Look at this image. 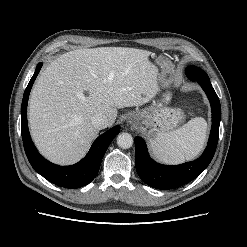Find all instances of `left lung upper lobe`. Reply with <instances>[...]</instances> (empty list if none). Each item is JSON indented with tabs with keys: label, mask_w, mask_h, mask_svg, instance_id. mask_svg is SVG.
Instances as JSON below:
<instances>
[{
	"label": "left lung upper lobe",
	"mask_w": 247,
	"mask_h": 247,
	"mask_svg": "<svg viewBox=\"0 0 247 247\" xmlns=\"http://www.w3.org/2000/svg\"><path fill=\"white\" fill-rule=\"evenodd\" d=\"M186 75H195L199 77H203L205 79H209L208 75L200 68L196 66H189L186 68Z\"/></svg>",
	"instance_id": "left-lung-upper-lobe-1"
}]
</instances>
